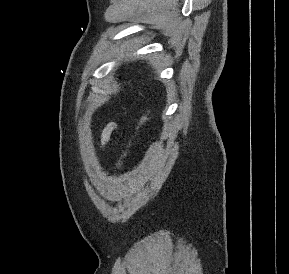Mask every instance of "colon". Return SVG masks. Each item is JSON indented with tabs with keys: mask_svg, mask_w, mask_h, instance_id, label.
<instances>
[{
	"mask_svg": "<svg viewBox=\"0 0 289 274\" xmlns=\"http://www.w3.org/2000/svg\"><path fill=\"white\" fill-rule=\"evenodd\" d=\"M149 116H150V108H147L145 110V112L140 116V118L138 120V123H137L136 129H135V133H134L133 138L128 142L127 146L121 152V154L119 155L118 159L116 160V163H115V168L116 169H119L121 167V165L123 163V160L127 156L128 152H129V150H130V148H131V146H132V144L134 142V139H135L136 135L140 132V130L145 125V123L148 121Z\"/></svg>",
	"mask_w": 289,
	"mask_h": 274,
	"instance_id": "colon-1",
	"label": "colon"
}]
</instances>
